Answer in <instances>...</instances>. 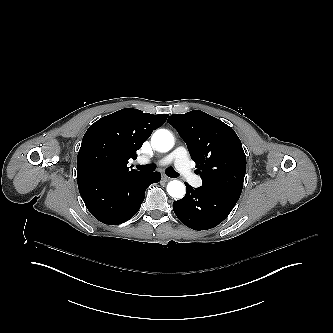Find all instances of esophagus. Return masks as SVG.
I'll return each mask as SVG.
<instances>
[{"mask_svg":"<svg viewBox=\"0 0 333 333\" xmlns=\"http://www.w3.org/2000/svg\"><path fill=\"white\" fill-rule=\"evenodd\" d=\"M162 179H163V181H165V182H168V181L171 180V178L167 177L166 175H162Z\"/></svg>","mask_w":333,"mask_h":333,"instance_id":"1","label":"esophagus"}]
</instances>
